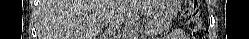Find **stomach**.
<instances>
[{"label":"stomach","instance_id":"stomach-1","mask_svg":"<svg viewBox=\"0 0 249 39\" xmlns=\"http://www.w3.org/2000/svg\"><path fill=\"white\" fill-rule=\"evenodd\" d=\"M139 11L153 19L170 21L180 11L179 0H144Z\"/></svg>","mask_w":249,"mask_h":39}]
</instances>
